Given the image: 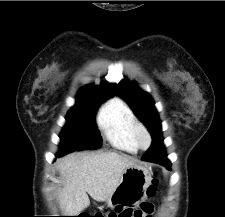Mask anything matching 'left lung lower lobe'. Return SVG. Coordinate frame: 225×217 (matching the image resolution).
I'll return each instance as SVG.
<instances>
[{
    "instance_id": "left-lung-lower-lobe-1",
    "label": "left lung lower lobe",
    "mask_w": 225,
    "mask_h": 217,
    "mask_svg": "<svg viewBox=\"0 0 225 217\" xmlns=\"http://www.w3.org/2000/svg\"><path fill=\"white\" fill-rule=\"evenodd\" d=\"M143 160L151 161L170 168V162L166 158L165 151L162 150L161 144L157 140H153L152 145Z\"/></svg>"
}]
</instances>
